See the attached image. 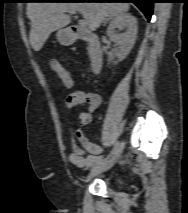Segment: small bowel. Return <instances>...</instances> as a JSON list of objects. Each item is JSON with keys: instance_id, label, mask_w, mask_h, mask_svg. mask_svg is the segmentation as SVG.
<instances>
[{"instance_id": "obj_1", "label": "small bowel", "mask_w": 188, "mask_h": 213, "mask_svg": "<svg viewBox=\"0 0 188 213\" xmlns=\"http://www.w3.org/2000/svg\"><path fill=\"white\" fill-rule=\"evenodd\" d=\"M65 106L69 110H74L78 106H85L86 110L79 114V122L86 126L91 122L92 113L102 104L101 96L94 91L77 89L70 92L64 100ZM77 144L69 155V161L77 167H90L99 159H102L104 148L90 141L86 135L78 130L76 132Z\"/></svg>"}]
</instances>
